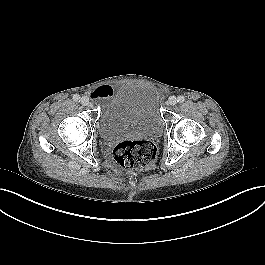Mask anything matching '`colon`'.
<instances>
[{"label": "colon", "mask_w": 265, "mask_h": 265, "mask_svg": "<svg viewBox=\"0 0 265 265\" xmlns=\"http://www.w3.org/2000/svg\"><path fill=\"white\" fill-rule=\"evenodd\" d=\"M116 165L127 170L149 168L157 158V147L149 140L121 141L113 149Z\"/></svg>", "instance_id": "colon-1"}]
</instances>
